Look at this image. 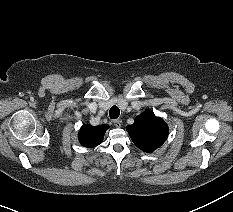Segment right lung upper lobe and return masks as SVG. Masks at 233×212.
Returning a JSON list of instances; mask_svg holds the SVG:
<instances>
[{
    "instance_id": "obj_1",
    "label": "right lung upper lobe",
    "mask_w": 233,
    "mask_h": 212,
    "mask_svg": "<svg viewBox=\"0 0 233 212\" xmlns=\"http://www.w3.org/2000/svg\"><path fill=\"white\" fill-rule=\"evenodd\" d=\"M108 128V125H83L78 134L79 141L85 147H95L103 141L105 131Z\"/></svg>"
}]
</instances>
